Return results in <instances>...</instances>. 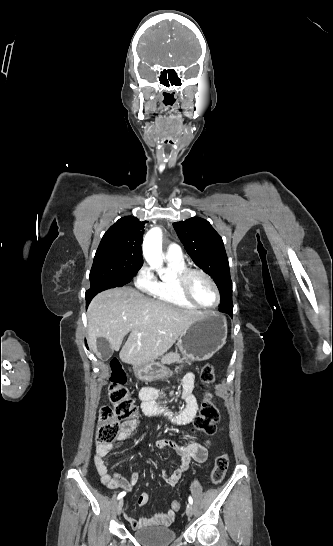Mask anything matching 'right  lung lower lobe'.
Returning a JSON list of instances; mask_svg holds the SVG:
<instances>
[{"label":"right lung lower lobe","instance_id":"obj_1","mask_svg":"<svg viewBox=\"0 0 333 546\" xmlns=\"http://www.w3.org/2000/svg\"><path fill=\"white\" fill-rule=\"evenodd\" d=\"M103 288H100L99 290H97L96 292L94 293H91L90 292V289L88 291H86V307L89 305L91 299L99 292L103 291L102 290ZM106 290V289H105Z\"/></svg>","mask_w":333,"mask_h":546}]
</instances>
